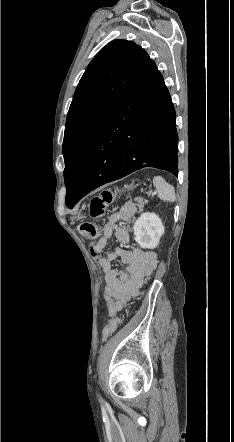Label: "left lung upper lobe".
I'll return each mask as SVG.
<instances>
[{
  "label": "left lung upper lobe",
  "instance_id": "5c2ea615",
  "mask_svg": "<svg viewBox=\"0 0 234 442\" xmlns=\"http://www.w3.org/2000/svg\"><path fill=\"white\" fill-rule=\"evenodd\" d=\"M150 61L146 51L134 42L115 40L89 63L76 88L65 126L66 200L76 190L98 133Z\"/></svg>",
  "mask_w": 234,
  "mask_h": 442
}]
</instances>
